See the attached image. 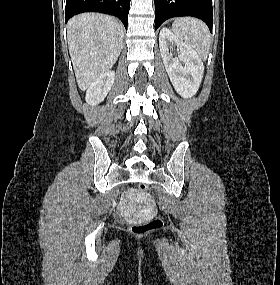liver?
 Segmentation results:
<instances>
[{
    "label": "liver",
    "instance_id": "liver-1",
    "mask_svg": "<svg viewBox=\"0 0 280 285\" xmlns=\"http://www.w3.org/2000/svg\"><path fill=\"white\" fill-rule=\"evenodd\" d=\"M124 29L114 17L83 13L67 25L69 52L78 87L88 88L116 63L123 46Z\"/></svg>",
    "mask_w": 280,
    "mask_h": 285
}]
</instances>
